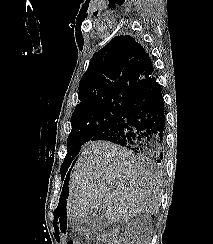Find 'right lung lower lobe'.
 <instances>
[{"instance_id":"obj_1","label":"right lung lower lobe","mask_w":213,"mask_h":244,"mask_svg":"<svg viewBox=\"0 0 213 244\" xmlns=\"http://www.w3.org/2000/svg\"><path fill=\"white\" fill-rule=\"evenodd\" d=\"M165 112L161 89L155 77L127 104L116 124L91 141L105 140L129 148L140 156L161 163L164 149ZM76 161V160H75ZM65 175L61 196L68 188L70 170Z\"/></svg>"}]
</instances>
